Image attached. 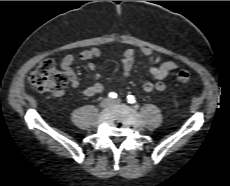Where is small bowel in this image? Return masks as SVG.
I'll return each mask as SVG.
<instances>
[{
    "instance_id": "obj_1",
    "label": "small bowel",
    "mask_w": 230,
    "mask_h": 186,
    "mask_svg": "<svg viewBox=\"0 0 230 186\" xmlns=\"http://www.w3.org/2000/svg\"><path fill=\"white\" fill-rule=\"evenodd\" d=\"M141 54L147 58L149 64L150 74L156 79L153 81H146L142 85V90L145 93H151L153 91H164L167 87L165 78L170 72L178 68L177 62L173 60L162 61L159 55H155L153 51L148 47H142L140 49ZM102 56V52L99 48H88L82 51L79 55H66L61 60V68L64 71L69 83L73 88L80 86L79 78L73 69V64L77 60L87 62L88 69L93 73V82L82 89V95L91 97L103 92L104 87L100 83L101 73L97 70L93 60ZM137 56V50L129 48L124 51L121 56L122 74L121 78H127L130 76ZM62 92L57 94L61 96Z\"/></svg>"
}]
</instances>
